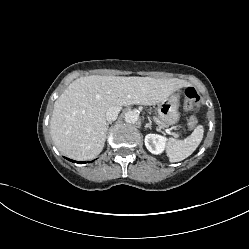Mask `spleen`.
<instances>
[{"instance_id": "spleen-1", "label": "spleen", "mask_w": 249, "mask_h": 249, "mask_svg": "<svg viewBox=\"0 0 249 249\" xmlns=\"http://www.w3.org/2000/svg\"><path fill=\"white\" fill-rule=\"evenodd\" d=\"M204 129L197 126L192 134L184 140L169 139L167 155L170 162H179L189 157L202 141Z\"/></svg>"}]
</instances>
